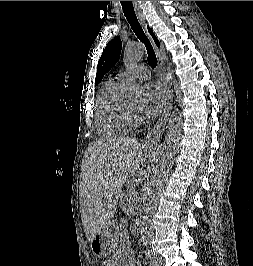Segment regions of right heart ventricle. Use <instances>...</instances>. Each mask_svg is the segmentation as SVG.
Segmentation results:
<instances>
[{
    "mask_svg": "<svg viewBox=\"0 0 253 266\" xmlns=\"http://www.w3.org/2000/svg\"><path fill=\"white\" fill-rule=\"evenodd\" d=\"M123 83L117 78L108 80L99 92L96 105V127L105 138L128 134L135 120L127 113L122 94Z\"/></svg>",
    "mask_w": 253,
    "mask_h": 266,
    "instance_id": "right-heart-ventricle-1",
    "label": "right heart ventricle"
}]
</instances>
